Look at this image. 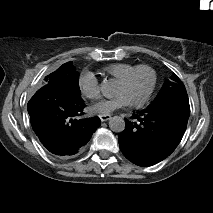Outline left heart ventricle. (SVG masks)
Wrapping results in <instances>:
<instances>
[{"label":"left heart ventricle","mask_w":213,"mask_h":213,"mask_svg":"<svg viewBox=\"0 0 213 213\" xmlns=\"http://www.w3.org/2000/svg\"><path fill=\"white\" fill-rule=\"evenodd\" d=\"M149 84V77L144 73H140L127 86L118 85L116 92L126 97H135L143 93Z\"/></svg>","instance_id":"obj_1"}]
</instances>
